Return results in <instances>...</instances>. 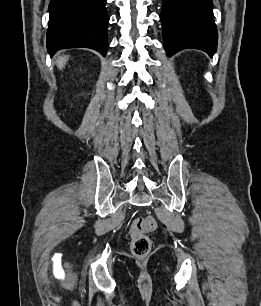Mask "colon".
<instances>
[{
    "mask_svg": "<svg viewBox=\"0 0 261 306\" xmlns=\"http://www.w3.org/2000/svg\"><path fill=\"white\" fill-rule=\"evenodd\" d=\"M157 223L152 216L136 218L130 227V248L134 256L143 258L151 250L148 233L156 229Z\"/></svg>",
    "mask_w": 261,
    "mask_h": 306,
    "instance_id": "colon-1",
    "label": "colon"
}]
</instances>
